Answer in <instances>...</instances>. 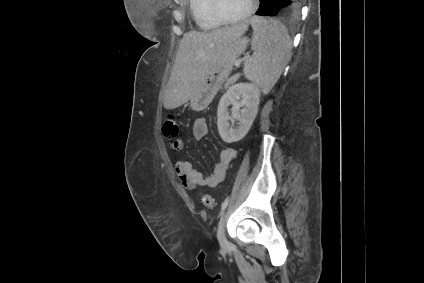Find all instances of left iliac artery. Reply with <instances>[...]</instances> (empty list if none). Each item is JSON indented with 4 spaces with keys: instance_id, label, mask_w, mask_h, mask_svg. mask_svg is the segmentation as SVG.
I'll use <instances>...</instances> for the list:
<instances>
[{
    "instance_id": "obj_1",
    "label": "left iliac artery",
    "mask_w": 424,
    "mask_h": 283,
    "mask_svg": "<svg viewBox=\"0 0 424 283\" xmlns=\"http://www.w3.org/2000/svg\"><path fill=\"white\" fill-rule=\"evenodd\" d=\"M228 202H229V197H227L221 205L222 212L226 209Z\"/></svg>"
}]
</instances>
